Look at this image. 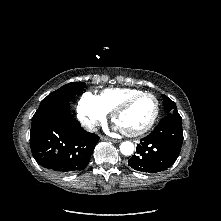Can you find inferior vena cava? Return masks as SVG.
Returning a JSON list of instances; mask_svg holds the SVG:
<instances>
[{
    "mask_svg": "<svg viewBox=\"0 0 221 221\" xmlns=\"http://www.w3.org/2000/svg\"><path fill=\"white\" fill-rule=\"evenodd\" d=\"M97 124H95V125H92V126H90V128L89 129H91V130H96L97 129Z\"/></svg>",
    "mask_w": 221,
    "mask_h": 221,
    "instance_id": "602c4592",
    "label": "inferior vena cava"
}]
</instances>
